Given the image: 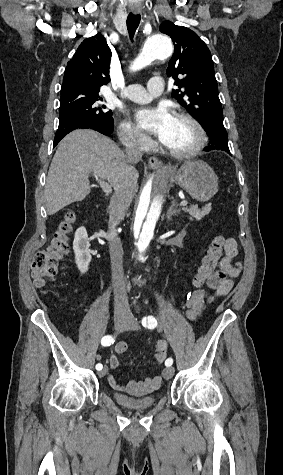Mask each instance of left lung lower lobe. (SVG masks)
<instances>
[{
    "label": "left lung lower lobe",
    "mask_w": 283,
    "mask_h": 475,
    "mask_svg": "<svg viewBox=\"0 0 283 475\" xmlns=\"http://www.w3.org/2000/svg\"><path fill=\"white\" fill-rule=\"evenodd\" d=\"M203 128L210 139V145L204 149L205 151L221 150L231 155L227 142V132L222 120L206 121Z\"/></svg>",
    "instance_id": "left-lung-lower-lobe-1"
}]
</instances>
